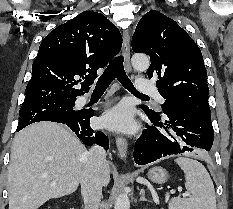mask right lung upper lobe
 I'll return each mask as SVG.
<instances>
[{
  "mask_svg": "<svg viewBox=\"0 0 233 209\" xmlns=\"http://www.w3.org/2000/svg\"><path fill=\"white\" fill-rule=\"evenodd\" d=\"M121 46L119 30L101 13L84 11L59 25L40 44L24 103L76 99L87 93L97 70L105 67Z\"/></svg>",
  "mask_w": 233,
  "mask_h": 209,
  "instance_id": "cb5924a9",
  "label": "right lung upper lobe"
}]
</instances>
